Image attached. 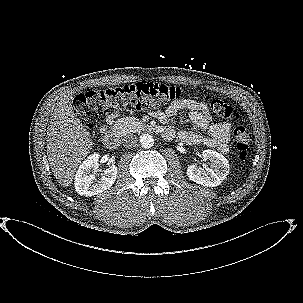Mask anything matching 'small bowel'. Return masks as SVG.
Masks as SVG:
<instances>
[{"label": "small bowel", "instance_id": "1", "mask_svg": "<svg viewBox=\"0 0 303 303\" xmlns=\"http://www.w3.org/2000/svg\"><path fill=\"white\" fill-rule=\"evenodd\" d=\"M182 110L189 111V119L200 130H206L207 135L181 130L178 132L180 140L190 145L202 144L207 147L216 148L222 153L228 152V141L231 130V124L228 122L215 123L210 115L208 106L200 101L193 99H180L174 101L168 106L165 111H158L154 113L157 120L165 124L168 119L177 116ZM118 116L117 112L110 113L106 122L107 125L111 124ZM107 125L103 126L102 131H105ZM175 134L172 128L167 127L164 135L167 138L173 137Z\"/></svg>", "mask_w": 303, "mask_h": 303}]
</instances>
